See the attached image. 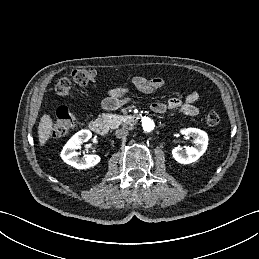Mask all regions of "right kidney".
Here are the masks:
<instances>
[{
  "label": "right kidney",
  "mask_w": 259,
  "mask_h": 259,
  "mask_svg": "<svg viewBox=\"0 0 259 259\" xmlns=\"http://www.w3.org/2000/svg\"><path fill=\"white\" fill-rule=\"evenodd\" d=\"M92 137L90 130H80L74 134L63 147L61 151V158L67 164L77 169H87L95 166L100 162V156L98 155H84L81 159L78 157V153L75 151L81 147L83 142H87Z\"/></svg>",
  "instance_id": "1"
}]
</instances>
